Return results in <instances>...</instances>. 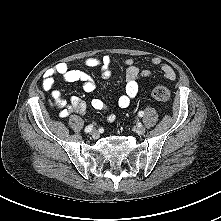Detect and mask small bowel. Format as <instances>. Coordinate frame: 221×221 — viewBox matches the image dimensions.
I'll return each instance as SVG.
<instances>
[{
	"mask_svg": "<svg viewBox=\"0 0 221 221\" xmlns=\"http://www.w3.org/2000/svg\"><path fill=\"white\" fill-rule=\"evenodd\" d=\"M151 63L160 66L163 78L167 81H174L176 73L174 69L168 65L163 64L161 58L154 57ZM126 66V86L125 93L118 98V106L125 109L129 106L131 100L136 97L139 85L138 79L141 77H149L151 75L148 70H141L135 63L133 58H126L124 60ZM84 65L87 67H99L102 76L109 78L112 74L111 58L109 55L101 57H91L84 60ZM55 76H59L66 82H79L85 92H92L96 88L95 81L85 72L71 69L68 63H60L53 69L46 71L43 79V89L51 94L50 105L59 109V117L66 118L71 114H84L86 112V104L77 96L71 97L69 101L62 98L61 92L54 88ZM92 107L96 110L105 109L104 102L99 98H94L91 101ZM107 120L113 122L115 120L114 114H109Z\"/></svg>",
	"mask_w": 221,
	"mask_h": 221,
	"instance_id": "1",
	"label": "small bowel"
}]
</instances>
